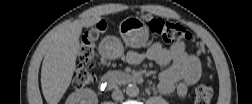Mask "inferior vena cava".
I'll list each match as a JSON object with an SVG mask.
<instances>
[{
	"label": "inferior vena cava",
	"instance_id": "1",
	"mask_svg": "<svg viewBox=\"0 0 252 104\" xmlns=\"http://www.w3.org/2000/svg\"><path fill=\"white\" fill-rule=\"evenodd\" d=\"M124 98L123 92L119 89L116 88L112 92V99L115 100L116 102H121Z\"/></svg>",
	"mask_w": 252,
	"mask_h": 104
}]
</instances>
